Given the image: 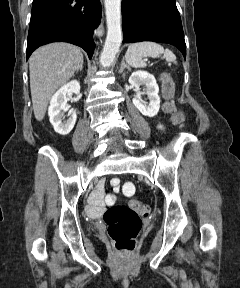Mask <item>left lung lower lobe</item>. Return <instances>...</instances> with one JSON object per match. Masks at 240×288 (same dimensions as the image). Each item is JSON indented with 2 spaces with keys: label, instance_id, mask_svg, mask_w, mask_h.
<instances>
[{
  "label": "left lung lower lobe",
  "instance_id": "1",
  "mask_svg": "<svg viewBox=\"0 0 240 288\" xmlns=\"http://www.w3.org/2000/svg\"><path fill=\"white\" fill-rule=\"evenodd\" d=\"M124 43L155 41L177 47L186 58V44L175 0H122Z\"/></svg>",
  "mask_w": 240,
  "mask_h": 288
}]
</instances>
